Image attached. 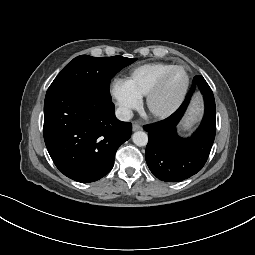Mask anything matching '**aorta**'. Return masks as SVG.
Wrapping results in <instances>:
<instances>
[{
    "label": "aorta",
    "mask_w": 255,
    "mask_h": 255,
    "mask_svg": "<svg viewBox=\"0 0 255 255\" xmlns=\"http://www.w3.org/2000/svg\"><path fill=\"white\" fill-rule=\"evenodd\" d=\"M132 140L137 146H146L148 143V136L143 131H137L133 134Z\"/></svg>",
    "instance_id": "aorta-1"
}]
</instances>
